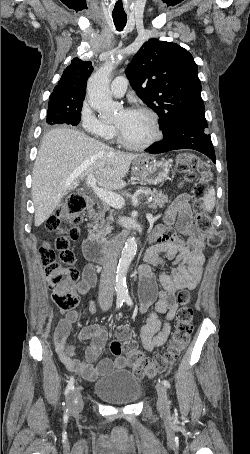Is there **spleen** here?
<instances>
[{
	"label": "spleen",
	"mask_w": 250,
	"mask_h": 454,
	"mask_svg": "<svg viewBox=\"0 0 250 454\" xmlns=\"http://www.w3.org/2000/svg\"><path fill=\"white\" fill-rule=\"evenodd\" d=\"M216 198H215V189L211 187L208 192L204 195V202L203 207L208 212H211L215 206Z\"/></svg>",
	"instance_id": "3e777b00"
}]
</instances>
